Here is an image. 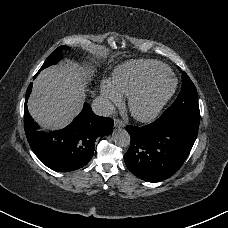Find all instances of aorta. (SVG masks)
Segmentation results:
<instances>
[{
  "label": "aorta",
  "mask_w": 228,
  "mask_h": 228,
  "mask_svg": "<svg viewBox=\"0 0 228 228\" xmlns=\"http://www.w3.org/2000/svg\"><path fill=\"white\" fill-rule=\"evenodd\" d=\"M114 143L120 147H127L130 145V136L125 129L115 130L112 134Z\"/></svg>",
  "instance_id": "obj_1"
}]
</instances>
